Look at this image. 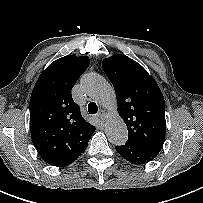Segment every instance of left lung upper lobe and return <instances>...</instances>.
<instances>
[{
    "mask_svg": "<svg viewBox=\"0 0 203 203\" xmlns=\"http://www.w3.org/2000/svg\"><path fill=\"white\" fill-rule=\"evenodd\" d=\"M112 82L128 140L158 153L165 140V101L156 81L136 61L114 55L102 62Z\"/></svg>",
    "mask_w": 203,
    "mask_h": 203,
    "instance_id": "left-lung-upper-lobe-1",
    "label": "left lung upper lobe"
}]
</instances>
